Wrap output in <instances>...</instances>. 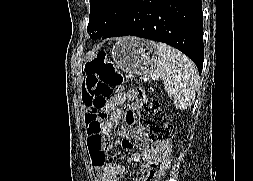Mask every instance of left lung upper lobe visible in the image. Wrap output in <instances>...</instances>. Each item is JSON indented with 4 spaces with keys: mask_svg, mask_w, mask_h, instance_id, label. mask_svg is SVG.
Returning <instances> with one entry per match:
<instances>
[{
    "mask_svg": "<svg viewBox=\"0 0 253 181\" xmlns=\"http://www.w3.org/2000/svg\"><path fill=\"white\" fill-rule=\"evenodd\" d=\"M131 0H90L87 31L91 39L101 37L120 18Z\"/></svg>",
    "mask_w": 253,
    "mask_h": 181,
    "instance_id": "left-lung-upper-lobe-1",
    "label": "left lung upper lobe"
}]
</instances>
